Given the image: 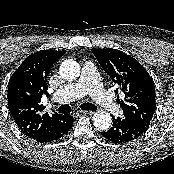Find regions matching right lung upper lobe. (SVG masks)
<instances>
[{"instance_id":"cb5924a9","label":"right lung upper lobe","mask_w":174,"mask_h":174,"mask_svg":"<svg viewBox=\"0 0 174 174\" xmlns=\"http://www.w3.org/2000/svg\"><path fill=\"white\" fill-rule=\"evenodd\" d=\"M65 50H41L29 55L16 69L8 85V108L16 124L29 138L37 140L53 134L69 123L70 115H49L41 103L47 96V76Z\"/></svg>"}]
</instances>
